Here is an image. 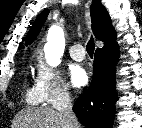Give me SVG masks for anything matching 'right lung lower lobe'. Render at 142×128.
Listing matches in <instances>:
<instances>
[{"instance_id":"obj_1","label":"right lung lower lobe","mask_w":142,"mask_h":128,"mask_svg":"<svg viewBox=\"0 0 142 128\" xmlns=\"http://www.w3.org/2000/svg\"><path fill=\"white\" fill-rule=\"evenodd\" d=\"M117 44L97 49L93 64V77L88 92L80 95L73 110L86 128H112L115 103V65Z\"/></svg>"}]
</instances>
